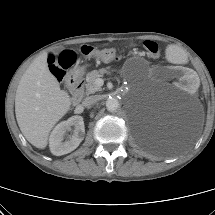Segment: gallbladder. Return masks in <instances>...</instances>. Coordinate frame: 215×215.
<instances>
[{
	"label": "gallbladder",
	"instance_id": "gallbladder-1",
	"mask_svg": "<svg viewBox=\"0 0 215 215\" xmlns=\"http://www.w3.org/2000/svg\"><path fill=\"white\" fill-rule=\"evenodd\" d=\"M60 51H61V49H57V50H56V53H58V52H60Z\"/></svg>",
	"mask_w": 215,
	"mask_h": 215
}]
</instances>
